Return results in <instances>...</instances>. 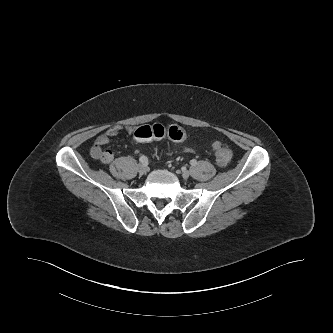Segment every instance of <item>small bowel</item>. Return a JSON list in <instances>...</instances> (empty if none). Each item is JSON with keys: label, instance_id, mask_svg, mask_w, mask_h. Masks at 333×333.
I'll list each match as a JSON object with an SVG mask.
<instances>
[{"label": "small bowel", "instance_id": "obj_1", "mask_svg": "<svg viewBox=\"0 0 333 333\" xmlns=\"http://www.w3.org/2000/svg\"><path fill=\"white\" fill-rule=\"evenodd\" d=\"M121 130L122 128L114 126L109 128L106 132L100 134L90 149L91 157L104 164L111 163L114 159V153L109 149H103V146L108 144L114 137H116ZM124 130L130 135L135 131V129L130 126L125 127ZM183 150L185 152H194V148L190 145H185Z\"/></svg>", "mask_w": 333, "mask_h": 333}]
</instances>
